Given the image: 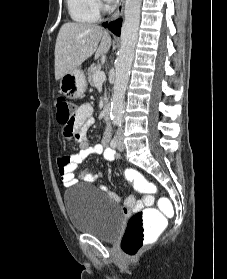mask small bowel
I'll use <instances>...</instances> for the list:
<instances>
[{
    "label": "small bowel",
    "instance_id": "c3829d8e",
    "mask_svg": "<svg viewBox=\"0 0 227 279\" xmlns=\"http://www.w3.org/2000/svg\"><path fill=\"white\" fill-rule=\"evenodd\" d=\"M91 112L92 107L90 104H84L81 106L71 130V134L79 144V153L62 156L57 159V171L60 175L63 185L67 188L75 185L79 181L92 182L100 178L101 174H94L90 167L84 168L78 176L75 175V170L77 167L82 164L89 155L103 153L106 162H112L117 158V154L114 150L110 148L104 149L103 144L100 143L92 145L87 140L86 128L94 123ZM77 128H80V130H77ZM105 132L107 134L105 142H108L109 134L111 133V127L106 126ZM132 171L135 170L132 168H125L123 170V174L128 179V173ZM109 197L116 202L120 201V198L114 193H109ZM152 201V196H145L139 200L135 195H130L125 199L123 206L126 211L138 210L143 206L152 204Z\"/></svg>",
    "mask_w": 227,
    "mask_h": 279
}]
</instances>
